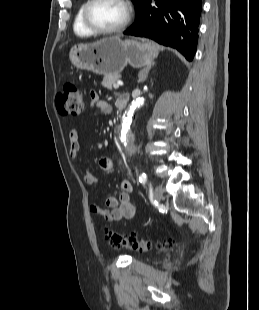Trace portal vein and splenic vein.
I'll return each mask as SVG.
<instances>
[{
	"label": "portal vein and splenic vein",
	"mask_w": 259,
	"mask_h": 310,
	"mask_svg": "<svg viewBox=\"0 0 259 310\" xmlns=\"http://www.w3.org/2000/svg\"><path fill=\"white\" fill-rule=\"evenodd\" d=\"M120 85H122V83H121V82H117V83H115V84L113 85V87H114L115 89H117V88H119Z\"/></svg>",
	"instance_id": "portal-vein-and-splenic-vein-1"
}]
</instances>
